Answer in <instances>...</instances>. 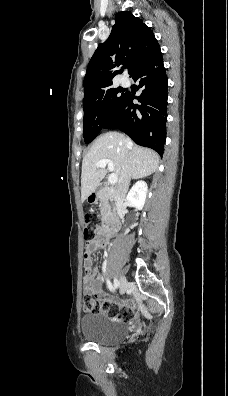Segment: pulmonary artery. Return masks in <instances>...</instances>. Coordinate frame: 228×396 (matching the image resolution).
<instances>
[{
    "mask_svg": "<svg viewBox=\"0 0 228 396\" xmlns=\"http://www.w3.org/2000/svg\"><path fill=\"white\" fill-rule=\"evenodd\" d=\"M129 83H130V81H129L128 78H126V77H123V78H122L121 84H122L123 86H128Z\"/></svg>",
    "mask_w": 228,
    "mask_h": 396,
    "instance_id": "pulmonary-artery-1",
    "label": "pulmonary artery"
}]
</instances>
